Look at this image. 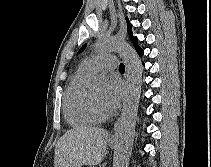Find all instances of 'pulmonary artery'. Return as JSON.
I'll return each instance as SVG.
<instances>
[{"label":"pulmonary artery","instance_id":"pulmonary-artery-1","mask_svg":"<svg viewBox=\"0 0 211 167\" xmlns=\"http://www.w3.org/2000/svg\"><path fill=\"white\" fill-rule=\"evenodd\" d=\"M81 66L90 72L113 70L118 66V60L111 54H100L83 60Z\"/></svg>","mask_w":211,"mask_h":167}]
</instances>
